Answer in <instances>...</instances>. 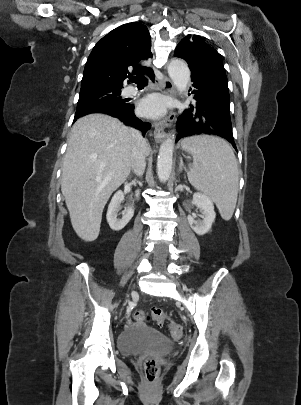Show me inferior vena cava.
<instances>
[{
  "label": "inferior vena cava",
  "instance_id": "inferior-vena-cava-1",
  "mask_svg": "<svg viewBox=\"0 0 301 405\" xmlns=\"http://www.w3.org/2000/svg\"><path fill=\"white\" fill-rule=\"evenodd\" d=\"M132 134L134 139L131 155L132 170L137 176H142L146 167L145 161L146 140L145 138H143L142 134L138 130L133 129Z\"/></svg>",
  "mask_w": 301,
  "mask_h": 405
}]
</instances>
